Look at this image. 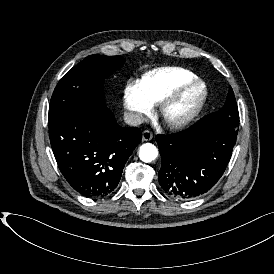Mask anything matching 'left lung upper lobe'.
Listing matches in <instances>:
<instances>
[{
	"label": "left lung upper lobe",
	"instance_id": "1",
	"mask_svg": "<svg viewBox=\"0 0 274 274\" xmlns=\"http://www.w3.org/2000/svg\"><path fill=\"white\" fill-rule=\"evenodd\" d=\"M200 121L205 124L222 127L232 133H238L239 112L231 87L229 88L224 106L217 112L206 115Z\"/></svg>",
	"mask_w": 274,
	"mask_h": 274
}]
</instances>
